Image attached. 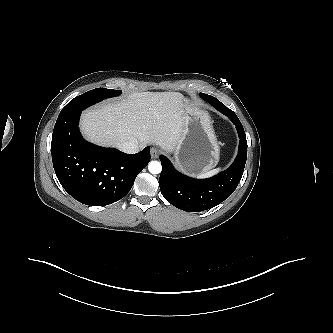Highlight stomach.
Wrapping results in <instances>:
<instances>
[{
	"label": "stomach",
	"instance_id": "obj_1",
	"mask_svg": "<svg viewBox=\"0 0 333 333\" xmlns=\"http://www.w3.org/2000/svg\"><path fill=\"white\" fill-rule=\"evenodd\" d=\"M184 125L174 151L180 169L201 175L219 162L218 145L212 122L207 112L193 108L184 100Z\"/></svg>",
	"mask_w": 333,
	"mask_h": 333
}]
</instances>
